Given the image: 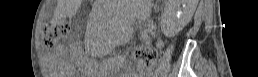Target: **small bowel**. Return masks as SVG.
I'll use <instances>...</instances> for the list:
<instances>
[{
	"mask_svg": "<svg viewBox=\"0 0 258 77\" xmlns=\"http://www.w3.org/2000/svg\"><path fill=\"white\" fill-rule=\"evenodd\" d=\"M157 45H158V46H161V45H162V42H161V41H158V42H157Z\"/></svg>",
	"mask_w": 258,
	"mask_h": 77,
	"instance_id": "1",
	"label": "small bowel"
}]
</instances>
